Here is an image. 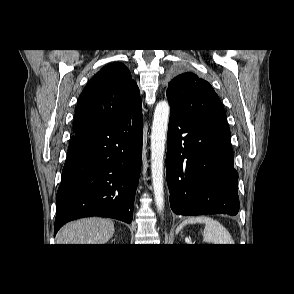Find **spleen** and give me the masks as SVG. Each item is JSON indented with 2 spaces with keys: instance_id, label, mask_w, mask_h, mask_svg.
<instances>
[{
  "instance_id": "3e777b00",
  "label": "spleen",
  "mask_w": 294,
  "mask_h": 294,
  "mask_svg": "<svg viewBox=\"0 0 294 294\" xmlns=\"http://www.w3.org/2000/svg\"><path fill=\"white\" fill-rule=\"evenodd\" d=\"M195 223L205 224L204 230L202 231L204 242L208 244H234L227 229L217 220L208 216L188 217L177 227L176 233L186 225Z\"/></svg>"
}]
</instances>
